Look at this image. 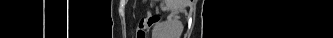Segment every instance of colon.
I'll return each instance as SVG.
<instances>
[{"label":"colon","instance_id":"1","mask_svg":"<svg viewBox=\"0 0 333 38\" xmlns=\"http://www.w3.org/2000/svg\"><path fill=\"white\" fill-rule=\"evenodd\" d=\"M158 16H151L147 18H143L139 21L138 27L136 30V38H146L147 32L149 29L159 21Z\"/></svg>","mask_w":333,"mask_h":38}]
</instances>
